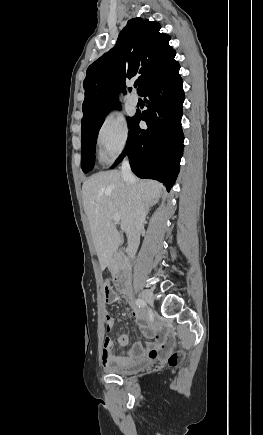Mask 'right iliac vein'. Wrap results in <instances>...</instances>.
<instances>
[{
	"label": "right iliac vein",
	"instance_id": "obj_1",
	"mask_svg": "<svg viewBox=\"0 0 263 435\" xmlns=\"http://www.w3.org/2000/svg\"><path fill=\"white\" fill-rule=\"evenodd\" d=\"M142 298L150 305H153L154 296L151 290L145 289L141 292Z\"/></svg>",
	"mask_w": 263,
	"mask_h": 435
}]
</instances>
